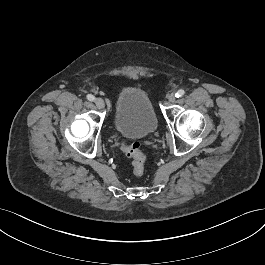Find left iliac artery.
Segmentation results:
<instances>
[{
  "label": "left iliac artery",
  "mask_w": 265,
  "mask_h": 265,
  "mask_svg": "<svg viewBox=\"0 0 265 265\" xmlns=\"http://www.w3.org/2000/svg\"><path fill=\"white\" fill-rule=\"evenodd\" d=\"M185 94V91L183 89H180L176 92L175 96L177 98L182 97Z\"/></svg>",
  "instance_id": "obj_1"
}]
</instances>
